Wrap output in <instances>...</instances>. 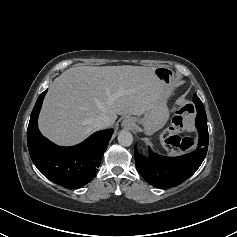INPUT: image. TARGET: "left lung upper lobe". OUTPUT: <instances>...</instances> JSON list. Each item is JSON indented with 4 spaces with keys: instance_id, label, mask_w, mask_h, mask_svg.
Wrapping results in <instances>:
<instances>
[{
    "instance_id": "obj_1",
    "label": "left lung upper lobe",
    "mask_w": 237,
    "mask_h": 237,
    "mask_svg": "<svg viewBox=\"0 0 237 237\" xmlns=\"http://www.w3.org/2000/svg\"><path fill=\"white\" fill-rule=\"evenodd\" d=\"M193 102L196 106L197 114L206 115L204 106L197 95L193 96Z\"/></svg>"
}]
</instances>
